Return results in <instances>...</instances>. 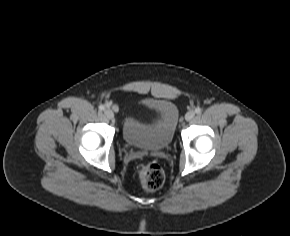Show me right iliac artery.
Listing matches in <instances>:
<instances>
[{
    "label": "right iliac artery",
    "mask_w": 290,
    "mask_h": 236,
    "mask_svg": "<svg viewBox=\"0 0 290 236\" xmlns=\"http://www.w3.org/2000/svg\"><path fill=\"white\" fill-rule=\"evenodd\" d=\"M104 109H105V108H104L103 105H100V106H99V110L103 111Z\"/></svg>",
    "instance_id": "1"
}]
</instances>
